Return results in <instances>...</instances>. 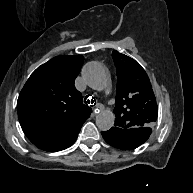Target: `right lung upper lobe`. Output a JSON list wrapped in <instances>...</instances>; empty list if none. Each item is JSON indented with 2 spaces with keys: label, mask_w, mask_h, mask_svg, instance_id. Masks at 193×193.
<instances>
[{
  "label": "right lung upper lobe",
  "mask_w": 193,
  "mask_h": 193,
  "mask_svg": "<svg viewBox=\"0 0 193 193\" xmlns=\"http://www.w3.org/2000/svg\"><path fill=\"white\" fill-rule=\"evenodd\" d=\"M84 58L56 56L38 67L24 85L17 110L22 130L38 148L54 152L71 146L90 116L74 81Z\"/></svg>",
  "instance_id": "1"
}]
</instances>
